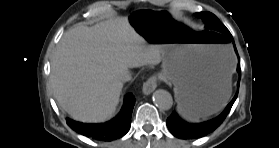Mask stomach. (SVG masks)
<instances>
[{
  "mask_svg": "<svg viewBox=\"0 0 279 148\" xmlns=\"http://www.w3.org/2000/svg\"><path fill=\"white\" fill-rule=\"evenodd\" d=\"M127 21L148 44L162 48V77L173 83L184 117L210 115L225 104V88L231 81L234 63L226 45L213 39L211 33L178 19L168 9L138 7L130 11Z\"/></svg>",
  "mask_w": 279,
  "mask_h": 148,
  "instance_id": "1",
  "label": "stomach"
}]
</instances>
